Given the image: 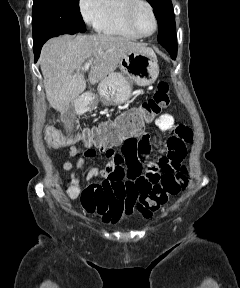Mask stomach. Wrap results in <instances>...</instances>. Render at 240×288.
Instances as JSON below:
<instances>
[{
    "label": "stomach",
    "instance_id": "1",
    "mask_svg": "<svg viewBox=\"0 0 240 288\" xmlns=\"http://www.w3.org/2000/svg\"><path fill=\"white\" fill-rule=\"evenodd\" d=\"M121 72L111 73L98 85L99 100L104 105L122 104L132 93V85L147 86L157 79L159 66L156 55L146 51H130L119 62ZM98 99L90 106L95 107Z\"/></svg>",
    "mask_w": 240,
    "mask_h": 288
}]
</instances>
